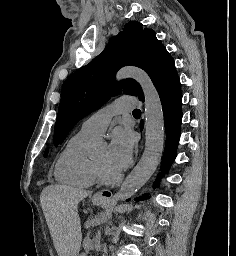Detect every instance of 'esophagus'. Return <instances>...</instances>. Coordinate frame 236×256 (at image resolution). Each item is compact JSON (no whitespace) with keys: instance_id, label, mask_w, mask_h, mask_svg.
<instances>
[{"instance_id":"esophagus-1","label":"esophagus","mask_w":236,"mask_h":256,"mask_svg":"<svg viewBox=\"0 0 236 256\" xmlns=\"http://www.w3.org/2000/svg\"><path fill=\"white\" fill-rule=\"evenodd\" d=\"M112 192L108 189H101L97 193L94 194L93 198L95 199H102V200H109L112 197Z\"/></svg>"}]
</instances>
